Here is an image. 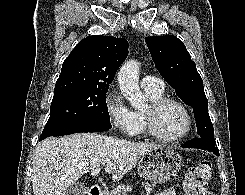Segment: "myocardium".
<instances>
[{
	"instance_id": "f54148a6",
	"label": "myocardium",
	"mask_w": 245,
	"mask_h": 195,
	"mask_svg": "<svg viewBox=\"0 0 245 195\" xmlns=\"http://www.w3.org/2000/svg\"><path fill=\"white\" fill-rule=\"evenodd\" d=\"M168 104H175L182 108L187 117V127L179 135L166 136L162 134L156 127V118L158 113ZM144 116V131L151 137L164 141V142H177L186 138L192 131L194 120L193 115L187 105L179 99L162 97L155 101L150 102L147 109L143 111Z\"/></svg>"
}]
</instances>
